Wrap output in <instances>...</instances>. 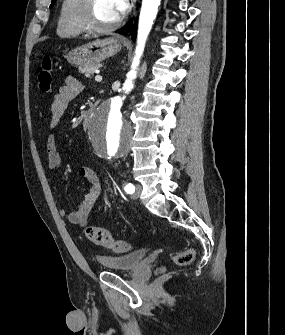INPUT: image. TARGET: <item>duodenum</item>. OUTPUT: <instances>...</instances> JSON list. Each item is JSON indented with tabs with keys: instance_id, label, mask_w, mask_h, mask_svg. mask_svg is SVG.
<instances>
[{
	"instance_id": "duodenum-1",
	"label": "duodenum",
	"mask_w": 285,
	"mask_h": 335,
	"mask_svg": "<svg viewBox=\"0 0 285 335\" xmlns=\"http://www.w3.org/2000/svg\"><path fill=\"white\" fill-rule=\"evenodd\" d=\"M94 111H95V106L94 105L90 106L85 111L84 116H83V122H82L84 127H87L88 122H89L90 118L92 117Z\"/></svg>"
}]
</instances>
